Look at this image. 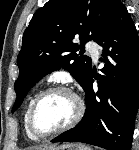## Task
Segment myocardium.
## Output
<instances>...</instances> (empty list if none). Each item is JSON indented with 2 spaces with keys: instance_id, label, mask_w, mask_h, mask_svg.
Listing matches in <instances>:
<instances>
[{
  "instance_id": "f54148a6",
  "label": "myocardium",
  "mask_w": 139,
  "mask_h": 150,
  "mask_svg": "<svg viewBox=\"0 0 139 150\" xmlns=\"http://www.w3.org/2000/svg\"><path fill=\"white\" fill-rule=\"evenodd\" d=\"M54 92H65V93L70 94L76 103V111H75L72 119L67 124L57 128V129L48 131V132H41L35 126V122H34L35 113H36L37 107H38L39 103L42 101V99L44 97H46L47 95L54 93ZM83 114H84V103L76 92H74L71 88H69L65 85H53V86L47 87L46 89L42 90L40 93L37 94V96L35 97V99L33 100L32 104L30 106V109L28 112L27 124H28V128H29L30 132L35 137L47 138V137H50V136H53L56 134L63 133L65 131H68L71 128L75 127L81 120Z\"/></svg>"
}]
</instances>
